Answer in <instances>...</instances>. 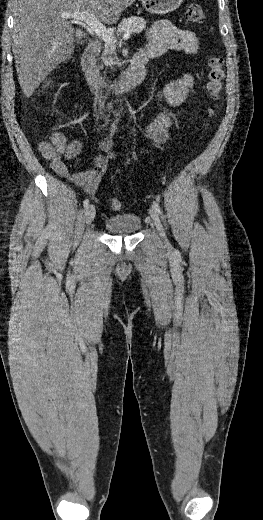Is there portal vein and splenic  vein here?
<instances>
[{
	"label": "portal vein and splenic vein",
	"instance_id": "obj_1",
	"mask_svg": "<svg viewBox=\"0 0 263 520\" xmlns=\"http://www.w3.org/2000/svg\"><path fill=\"white\" fill-rule=\"evenodd\" d=\"M62 18H71L74 20L83 21L90 28L92 32L100 36L108 45L115 46L117 40L111 30L107 29L93 14L87 12H72L63 13ZM131 32L127 31L122 36L123 40L129 39Z\"/></svg>",
	"mask_w": 263,
	"mask_h": 520
}]
</instances>
